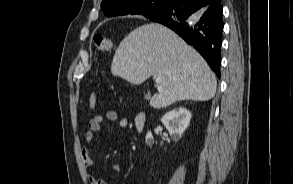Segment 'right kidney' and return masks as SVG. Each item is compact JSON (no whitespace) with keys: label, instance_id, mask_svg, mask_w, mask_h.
<instances>
[{"label":"right kidney","instance_id":"1","mask_svg":"<svg viewBox=\"0 0 293 184\" xmlns=\"http://www.w3.org/2000/svg\"><path fill=\"white\" fill-rule=\"evenodd\" d=\"M191 117L192 114L188 109L180 107L164 114L161 118V122L168 130L171 138L174 141H178L189 126ZM145 139L146 143L151 145L153 142V135L150 131L147 133Z\"/></svg>","mask_w":293,"mask_h":184}]
</instances>
